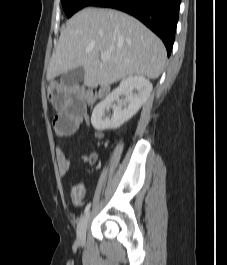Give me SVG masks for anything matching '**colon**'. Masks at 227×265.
Segmentation results:
<instances>
[{
    "label": "colon",
    "mask_w": 227,
    "mask_h": 265,
    "mask_svg": "<svg viewBox=\"0 0 227 265\" xmlns=\"http://www.w3.org/2000/svg\"><path fill=\"white\" fill-rule=\"evenodd\" d=\"M57 87H79V91H83V96H85L86 105H92L96 101L95 94L85 87L78 85H64L57 82H51L46 86V93L49 99L52 100V96H56Z\"/></svg>",
    "instance_id": "colon-1"
}]
</instances>
